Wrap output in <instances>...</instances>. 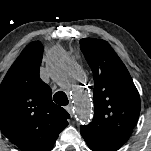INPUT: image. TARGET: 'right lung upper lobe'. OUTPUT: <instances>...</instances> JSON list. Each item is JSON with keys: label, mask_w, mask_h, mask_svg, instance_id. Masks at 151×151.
<instances>
[{"label": "right lung upper lobe", "mask_w": 151, "mask_h": 151, "mask_svg": "<svg viewBox=\"0 0 151 151\" xmlns=\"http://www.w3.org/2000/svg\"><path fill=\"white\" fill-rule=\"evenodd\" d=\"M43 46L28 44L0 85V128L22 151H50L70 115L39 77Z\"/></svg>", "instance_id": "right-lung-upper-lobe-1"}]
</instances>
